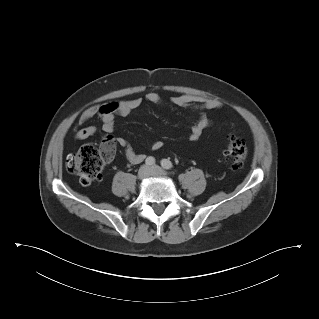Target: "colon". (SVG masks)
<instances>
[{
  "label": "colon",
  "mask_w": 319,
  "mask_h": 319,
  "mask_svg": "<svg viewBox=\"0 0 319 319\" xmlns=\"http://www.w3.org/2000/svg\"><path fill=\"white\" fill-rule=\"evenodd\" d=\"M114 149L115 143L111 137H106L100 145L85 144L67 158V169L77 175L82 184L94 183L100 180L103 167L112 157ZM247 153L248 148L244 140L235 135L228 137L224 156L232 169L242 168Z\"/></svg>",
  "instance_id": "5ec220e1"
}]
</instances>
